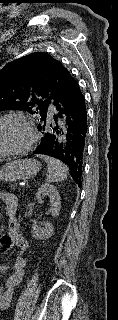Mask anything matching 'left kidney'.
<instances>
[{
  "label": "left kidney",
  "mask_w": 118,
  "mask_h": 320,
  "mask_svg": "<svg viewBox=\"0 0 118 320\" xmlns=\"http://www.w3.org/2000/svg\"><path fill=\"white\" fill-rule=\"evenodd\" d=\"M45 197H48L50 199V214L53 217H57L61 209V197L57 188L54 185H50L48 183L41 185L36 193V198L39 202H42ZM51 229L52 227L49 223L34 225L32 236L35 239H44L48 236Z\"/></svg>",
  "instance_id": "5707ae66"
}]
</instances>
